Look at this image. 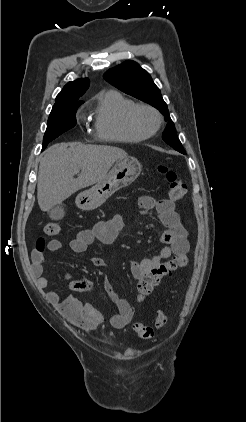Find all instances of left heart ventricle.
I'll return each mask as SVG.
<instances>
[{"instance_id": "left-heart-ventricle-1", "label": "left heart ventricle", "mask_w": 246, "mask_h": 422, "mask_svg": "<svg viewBox=\"0 0 246 422\" xmlns=\"http://www.w3.org/2000/svg\"><path fill=\"white\" fill-rule=\"evenodd\" d=\"M141 121L142 124L147 128V129H152L155 127L156 125V118L154 115H152L149 112H143L141 114Z\"/></svg>"}]
</instances>
